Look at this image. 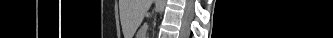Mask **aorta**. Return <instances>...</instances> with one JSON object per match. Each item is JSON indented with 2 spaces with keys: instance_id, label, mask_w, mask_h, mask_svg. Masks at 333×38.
Wrapping results in <instances>:
<instances>
[{
  "instance_id": "762f6f07",
  "label": "aorta",
  "mask_w": 333,
  "mask_h": 38,
  "mask_svg": "<svg viewBox=\"0 0 333 38\" xmlns=\"http://www.w3.org/2000/svg\"><path fill=\"white\" fill-rule=\"evenodd\" d=\"M165 6H166V0H157V7L160 15H162Z\"/></svg>"
}]
</instances>
